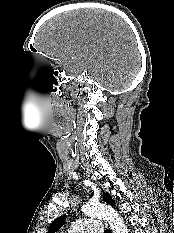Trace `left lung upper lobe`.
<instances>
[{"label": "left lung upper lobe", "instance_id": "left-lung-upper-lobe-1", "mask_svg": "<svg viewBox=\"0 0 174 233\" xmlns=\"http://www.w3.org/2000/svg\"><path fill=\"white\" fill-rule=\"evenodd\" d=\"M103 201L112 205V206H115V201L112 199V197L109 193H103ZM65 221H66V215H63V216L56 218L51 223L47 233H55L64 225Z\"/></svg>", "mask_w": 174, "mask_h": 233}]
</instances>
